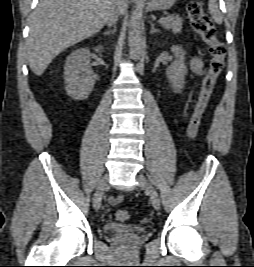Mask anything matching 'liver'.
I'll return each instance as SVG.
<instances>
[{
	"mask_svg": "<svg viewBox=\"0 0 254 267\" xmlns=\"http://www.w3.org/2000/svg\"><path fill=\"white\" fill-rule=\"evenodd\" d=\"M124 14L125 0H118ZM115 0H40L30 15L27 59L41 76L52 60L70 46L93 36L106 23Z\"/></svg>",
	"mask_w": 254,
	"mask_h": 267,
	"instance_id": "6515ba94",
	"label": "liver"
}]
</instances>
